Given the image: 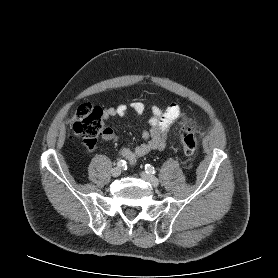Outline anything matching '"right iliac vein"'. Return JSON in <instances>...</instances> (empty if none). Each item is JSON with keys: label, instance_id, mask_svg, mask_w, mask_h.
Instances as JSON below:
<instances>
[{"label": "right iliac vein", "instance_id": "obj_1", "mask_svg": "<svg viewBox=\"0 0 278 278\" xmlns=\"http://www.w3.org/2000/svg\"><path fill=\"white\" fill-rule=\"evenodd\" d=\"M111 174L113 177H118L121 174V168L120 167H114L111 170Z\"/></svg>", "mask_w": 278, "mask_h": 278}]
</instances>
